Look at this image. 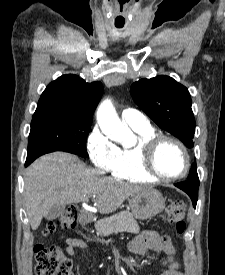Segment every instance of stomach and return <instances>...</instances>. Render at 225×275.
I'll list each match as a JSON object with an SVG mask.
<instances>
[{
  "label": "stomach",
  "mask_w": 225,
  "mask_h": 275,
  "mask_svg": "<svg viewBox=\"0 0 225 275\" xmlns=\"http://www.w3.org/2000/svg\"><path fill=\"white\" fill-rule=\"evenodd\" d=\"M132 215L139 220H147L161 213L165 208V199L155 189H147L133 194L129 199Z\"/></svg>",
  "instance_id": "0dacf381"
}]
</instances>
